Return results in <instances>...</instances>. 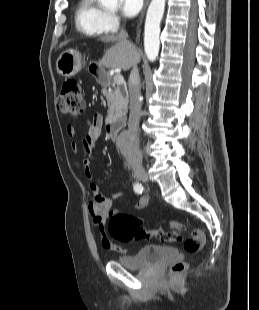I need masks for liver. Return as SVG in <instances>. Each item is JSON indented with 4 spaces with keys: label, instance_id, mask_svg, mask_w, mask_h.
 Returning a JSON list of instances; mask_svg holds the SVG:
<instances>
[{
    "label": "liver",
    "instance_id": "6515ba94",
    "mask_svg": "<svg viewBox=\"0 0 259 310\" xmlns=\"http://www.w3.org/2000/svg\"><path fill=\"white\" fill-rule=\"evenodd\" d=\"M102 42L115 43L104 54L101 64L107 68H120L124 71L130 69L135 63L140 61V56L136 48L129 43L124 42L119 36L101 37Z\"/></svg>",
    "mask_w": 259,
    "mask_h": 310
}]
</instances>
